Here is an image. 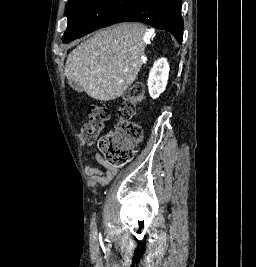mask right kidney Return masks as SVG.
Instances as JSON below:
<instances>
[{"mask_svg":"<svg viewBox=\"0 0 256 267\" xmlns=\"http://www.w3.org/2000/svg\"><path fill=\"white\" fill-rule=\"evenodd\" d=\"M169 70L166 58H160L154 62L147 82L149 94L153 100L159 98L160 94L164 92L169 78Z\"/></svg>","mask_w":256,"mask_h":267,"instance_id":"right-kidney-1","label":"right kidney"}]
</instances>
